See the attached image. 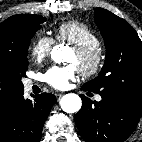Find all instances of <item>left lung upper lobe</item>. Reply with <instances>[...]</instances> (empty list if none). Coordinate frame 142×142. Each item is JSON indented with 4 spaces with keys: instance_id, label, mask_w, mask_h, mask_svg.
Instances as JSON below:
<instances>
[{
    "instance_id": "obj_1",
    "label": "left lung upper lobe",
    "mask_w": 142,
    "mask_h": 142,
    "mask_svg": "<svg viewBox=\"0 0 142 142\" xmlns=\"http://www.w3.org/2000/svg\"><path fill=\"white\" fill-rule=\"evenodd\" d=\"M94 11L106 58L99 75L82 88L110 99L142 105V41L124 19L102 8Z\"/></svg>"
}]
</instances>
